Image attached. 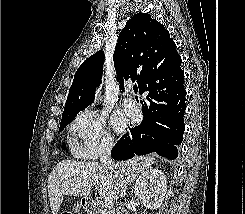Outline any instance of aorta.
<instances>
[{
  "instance_id": "aorta-1",
  "label": "aorta",
  "mask_w": 245,
  "mask_h": 214,
  "mask_svg": "<svg viewBox=\"0 0 245 214\" xmlns=\"http://www.w3.org/2000/svg\"><path fill=\"white\" fill-rule=\"evenodd\" d=\"M101 100L100 92H97L96 94V102H99Z\"/></svg>"
}]
</instances>
